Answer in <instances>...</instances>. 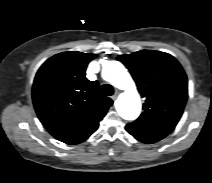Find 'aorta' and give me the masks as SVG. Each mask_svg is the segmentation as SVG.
I'll return each instance as SVG.
<instances>
[{
    "mask_svg": "<svg viewBox=\"0 0 212 183\" xmlns=\"http://www.w3.org/2000/svg\"><path fill=\"white\" fill-rule=\"evenodd\" d=\"M102 77L115 87L125 90L118 98L116 108L125 120H135L141 112L140 96L135 83L122 63L109 60L103 64Z\"/></svg>",
    "mask_w": 212,
    "mask_h": 183,
    "instance_id": "1",
    "label": "aorta"
}]
</instances>
